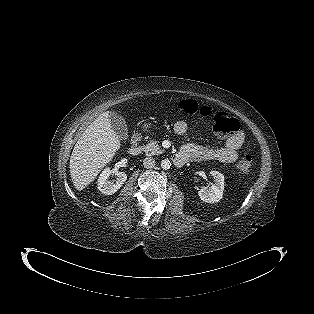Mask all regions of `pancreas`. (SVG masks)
I'll list each match as a JSON object with an SVG mask.
<instances>
[{
    "label": "pancreas",
    "instance_id": "obj_1",
    "mask_svg": "<svg viewBox=\"0 0 314 314\" xmlns=\"http://www.w3.org/2000/svg\"><path fill=\"white\" fill-rule=\"evenodd\" d=\"M144 152L146 155H159L164 152V150L158 145L157 141L150 140L145 146H144Z\"/></svg>",
    "mask_w": 314,
    "mask_h": 314
}]
</instances>
